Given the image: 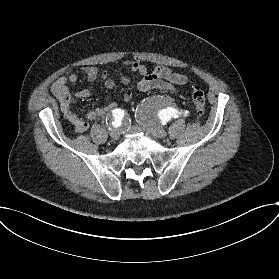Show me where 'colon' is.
<instances>
[{"instance_id":"obj_1","label":"colon","mask_w":279,"mask_h":279,"mask_svg":"<svg viewBox=\"0 0 279 279\" xmlns=\"http://www.w3.org/2000/svg\"><path fill=\"white\" fill-rule=\"evenodd\" d=\"M191 99L199 117H203L205 113V95L203 90L197 86H191Z\"/></svg>"}]
</instances>
